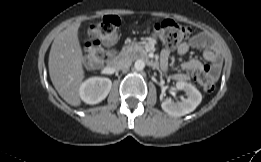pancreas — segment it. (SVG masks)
I'll list each match as a JSON object with an SVG mask.
<instances>
[{
    "mask_svg": "<svg viewBox=\"0 0 261 162\" xmlns=\"http://www.w3.org/2000/svg\"><path fill=\"white\" fill-rule=\"evenodd\" d=\"M136 53L145 54L146 51L141 43L132 42L122 48L119 57H133Z\"/></svg>",
    "mask_w": 261,
    "mask_h": 162,
    "instance_id": "obj_1",
    "label": "pancreas"
}]
</instances>
